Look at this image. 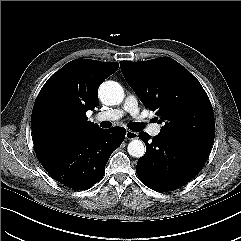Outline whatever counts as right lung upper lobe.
<instances>
[{"mask_svg":"<svg viewBox=\"0 0 241 241\" xmlns=\"http://www.w3.org/2000/svg\"><path fill=\"white\" fill-rule=\"evenodd\" d=\"M119 68L117 62L70 61L40 90L31 117L35 151L51 149L100 129L88 110L98 105V87Z\"/></svg>","mask_w":241,"mask_h":241,"instance_id":"cb5924a9","label":"right lung upper lobe"}]
</instances>
